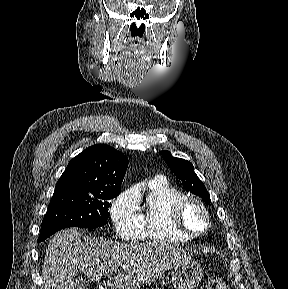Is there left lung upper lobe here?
Masks as SVG:
<instances>
[{
  "instance_id": "left-lung-upper-lobe-1",
  "label": "left lung upper lobe",
  "mask_w": 288,
  "mask_h": 289,
  "mask_svg": "<svg viewBox=\"0 0 288 289\" xmlns=\"http://www.w3.org/2000/svg\"><path fill=\"white\" fill-rule=\"evenodd\" d=\"M161 153L164 161L171 168L176 177L182 181L185 190L196 194L209 204V193L205 188V185L194 172L193 165L187 160L173 157L169 151L164 150Z\"/></svg>"
}]
</instances>
